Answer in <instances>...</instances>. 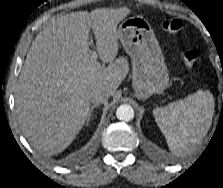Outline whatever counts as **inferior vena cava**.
<instances>
[{"mask_svg": "<svg viewBox=\"0 0 223 188\" xmlns=\"http://www.w3.org/2000/svg\"><path fill=\"white\" fill-rule=\"evenodd\" d=\"M109 97L110 93L104 88L94 89L90 94V100L95 104L104 103Z\"/></svg>", "mask_w": 223, "mask_h": 188, "instance_id": "inferior-vena-cava-1", "label": "inferior vena cava"}]
</instances>
